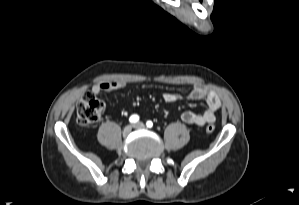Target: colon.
<instances>
[{
  "mask_svg": "<svg viewBox=\"0 0 299 205\" xmlns=\"http://www.w3.org/2000/svg\"><path fill=\"white\" fill-rule=\"evenodd\" d=\"M104 109V103L93 93L83 94L77 104L76 121L78 125L86 127L97 122L101 118ZM214 130L215 126L213 124L207 125V133H213Z\"/></svg>",
  "mask_w": 299,
  "mask_h": 205,
  "instance_id": "colon-1",
  "label": "colon"
}]
</instances>
